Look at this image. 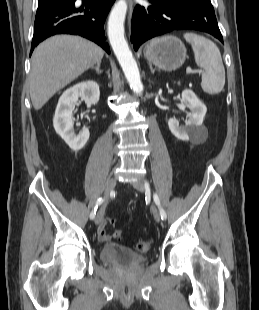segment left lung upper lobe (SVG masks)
<instances>
[{"mask_svg":"<svg viewBox=\"0 0 259 310\" xmlns=\"http://www.w3.org/2000/svg\"><path fill=\"white\" fill-rule=\"evenodd\" d=\"M172 1H184V0H172Z\"/></svg>","mask_w":259,"mask_h":310,"instance_id":"5c2ea615","label":"left lung upper lobe"}]
</instances>
